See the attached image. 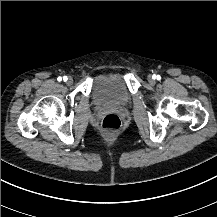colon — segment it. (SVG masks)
<instances>
[{
  "instance_id": "1",
  "label": "colon",
  "mask_w": 217,
  "mask_h": 217,
  "mask_svg": "<svg viewBox=\"0 0 217 217\" xmlns=\"http://www.w3.org/2000/svg\"><path fill=\"white\" fill-rule=\"evenodd\" d=\"M102 126L107 134H115L121 128L119 116L116 113L107 114L102 121Z\"/></svg>"
}]
</instances>
